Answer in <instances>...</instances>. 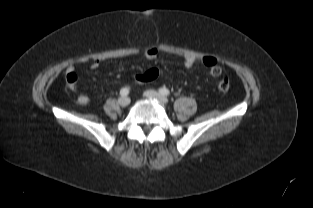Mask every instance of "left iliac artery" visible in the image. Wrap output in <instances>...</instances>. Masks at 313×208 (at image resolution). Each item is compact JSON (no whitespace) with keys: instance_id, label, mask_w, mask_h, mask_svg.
<instances>
[{"instance_id":"obj_1","label":"left iliac artery","mask_w":313,"mask_h":208,"mask_svg":"<svg viewBox=\"0 0 313 208\" xmlns=\"http://www.w3.org/2000/svg\"><path fill=\"white\" fill-rule=\"evenodd\" d=\"M159 93L164 96H168L170 94V91L167 88L163 87L159 89Z\"/></svg>"}]
</instances>
